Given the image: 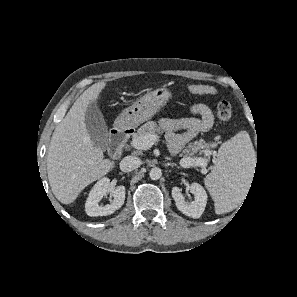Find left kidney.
<instances>
[{
  "mask_svg": "<svg viewBox=\"0 0 297 297\" xmlns=\"http://www.w3.org/2000/svg\"><path fill=\"white\" fill-rule=\"evenodd\" d=\"M190 191L195 196L194 201L190 203L185 201V198L178 187H173L172 197L175 200L176 207L180 212L192 218H199L206 207L207 193L198 183H192Z\"/></svg>",
  "mask_w": 297,
  "mask_h": 297,
  "instance_id": "1",
  "label": "left kidney"
}]
</instances>
